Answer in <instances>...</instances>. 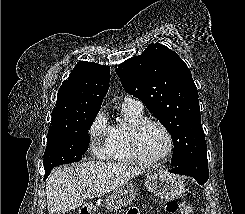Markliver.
I'll list each match as a JSON object with an SVG mask.
<instances>
[{
    "label": "liver",
    "mask_w": 245,
    "mask_h": 214,
    "mask_svg": "<svg viewBox=\"0 0 245 214\" xmlns=\"http://www.w3.org/2000/svg\"><path fill=\"white\" fill-rule=\"evenodd\" d=\"M142 172L141 168L125 163L102 161H85L56 168L46 183L49 213L60 214L76 209L87 198L101 197L115 191ZM86 183L92 186L84 192Z\"/></svg>",
    "instance_id": "liver-1"
}]
</instances>
